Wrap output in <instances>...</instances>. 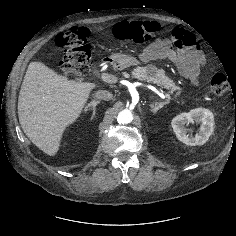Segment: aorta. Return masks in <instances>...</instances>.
Returning <instances> with one entry per match:
<instances>
[{
	"label": "aorta",
	"instance_id": "aorta-1",
	"mask_svg": "<svg viewBox=\"0 0 236 236\" xmlns=\"http://www.w3.org/2000/svg\"><path fill=\"white\" fill-rule=\"evenodd\" d=\"M132 120H133V115L131 111L128 109L122 110L121 112H119L117 116V121L120 124H129L132 122Z\"/></svg>",
	"mask_w": 236,
	"mask_h": 236
}]
</instances>
